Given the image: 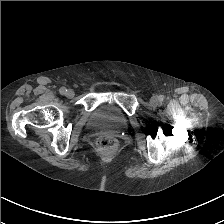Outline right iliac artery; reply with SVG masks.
Returning a JSON list of instances; mask_svg holds the SVG:
<instances>
[{
	"mask_svg": "<svg viewBox=\"0 0 224 224\" xmlns=\"http://www.w3.org/2000/svg\"><path fill=\"white\" fill-rule=\"evenodd\" d=\"M66 91H67V89L65 88V87H61L60 89H59V92L63 95V94H66Z\"/></svg>",
	"mask_w": 224,
	"mask_h": 224,
	"instance_id": "right-iliac-artery-1",
	"label": "right iliac artery"
}]
</instances>
